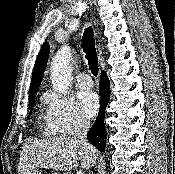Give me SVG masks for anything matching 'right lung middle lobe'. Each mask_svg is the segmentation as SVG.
Instances as JSON below:
<instances>
[{"label": "right lung middle lobe", "instance_id": "obj_1", "mask_svg": "<svg viewBox=\"0 0 175 174\" xmlns=\"http://www.w3.org/2000/svg\"><path fill=\"white\" fill-rule=\"evenodd\" d=\"M33 102H34V99L29 100L30 109H32Z\"/></svg>", "mask_w": 175, "mask_h": 174}]
</instances>
